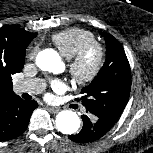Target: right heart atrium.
Instances as JSON below:
<instances>
[{"label": "right heart atrium", "instance_id": "obj_1", "mask_svg": "<svg viewBox=\"0 0 153 153\" xmlns=\"http://www.w3.org/2000/svg\"><path fill=\"white\" fill-rule=\"evenodd\" d=\"M34 54H35V49L31 52V54H30L31 57L34 56Z\"/></svg>", "mask_w": 153, "mask_h": 153}]
</instances>
